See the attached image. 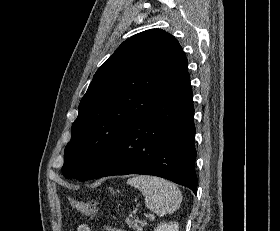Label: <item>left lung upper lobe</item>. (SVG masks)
<instances>
[{"mask_svg":"<svg viewBox=\"0 0 280 231\" xmlns=\"http://www.w3.org/2000/svg\"><path fill=\"white\" fill-rule=\"evenodd\" d=\"M187 77V58L169 33L151 29L124 41L81 99L63 175L88 180L117 139Z\"/></svg>","mask_w":280,"mask_h":231,"instance_id":"5c2ea615","label":"left lung upper lobe"}]
</instances>
